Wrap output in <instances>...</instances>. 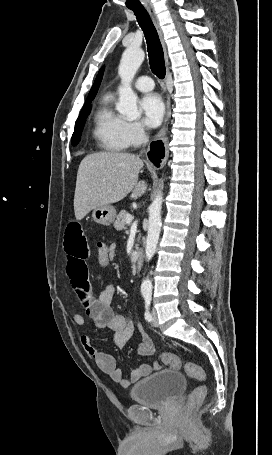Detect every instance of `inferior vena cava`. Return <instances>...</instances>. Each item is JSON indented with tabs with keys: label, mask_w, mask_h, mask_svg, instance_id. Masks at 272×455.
<instances>
[{
	"label": "inferior vena cava",
	"mask_w": 272,
	"mask_h": 455,
	"mask_svg": "<svg viewBox=\"0 0 272 455\" xmlns=\"http://www.w3.org/2000/svg\"><path fill=\"white\" fill-rule=\"evenodd\" d=\"M143 142H144V144H146L148 142V137L147 136L144 137Z\"/></svg>",
	"instance_id": "602c4592"
}]
</instances>
